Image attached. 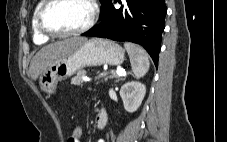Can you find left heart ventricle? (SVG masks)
I'll use <instances>...</instances> for the list:
<instances>
[{"label": "left heart ventricle", "mask_w": 227, "mask_h": 142, "mask_svg": "<svg viewBox=\"0 0 227 142\" xmlns=\"http://www.w3.org/2000/svg\"><path fill=\"white\" fill-rule=\"evenodd\" d=\"M90 16L91 8L86 0H59L46 12L45 22L52 30L65 32L84 26Z\"/></svg>", "instance_id": "b2bd125f"}]
</instances>
